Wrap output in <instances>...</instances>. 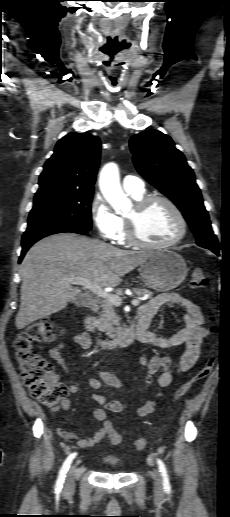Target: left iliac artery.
I'll return each instance as SVG.
<instances>
[{"label":"left iliac artery","mask_w":230,"mask_h":517,"mask_svg":"<svg viewBox=\"0 0 230 517\" xmlns=\"http://www.w3.org/2000/svg\"><path fill=\"white\" fill-rule=\"evenodd\" d=\"M157 463H158L159 471H160L162 479H163L164 489H165V491L167 493H170L171 492V485H170V482H169V475H168L166 466H165V464L163 463V461L161 459H157Z\"/></svg>","instance_id":"1"}]
</instances>
